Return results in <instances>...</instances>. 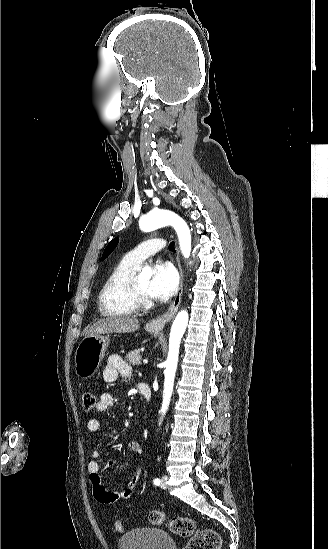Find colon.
<instances>
[{"label":"colon","instance_id":"colon-1","mask_svg":"<svg viewBox=\"0 0 328 549\" xmlns=\"http://www.w3.org/2000/svg\"><path fill=\"white\" fill-rule=\"evenodd\" d=\"M96 404L93 393L84 392L82 395V407L84 411H91ZM149 521L154 525L167 523L170 531L180 537H190L184 549H219L221 539L219 534L213 529H202L196 531V523L193 519L186 516L169 517L165 512L154 510L149 514ZM113 528L116 532H123V525L119 520H115Z\"/></svg>","mask_w":328,"mask_h":549}]
</instances>
